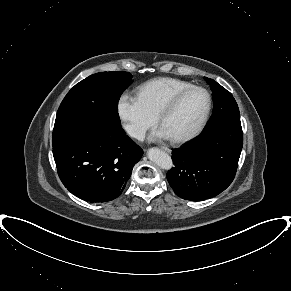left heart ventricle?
Instances as JSON below:
<instances>
[{
  "label": "left heart ventricle",
  "mask_w": 291,
  "mask_h": 291,
  "mask_svg": "<svg viewBox=\"0 0 291 291\" xmlns=\"http://www.w3.org/2000/svg\"><path fill=\"white\" fill-rule=\"evenodd\" d=\"M207 105V96L203 91L195 90L187 94L175 110L161 125V129L170 139L190 133L198 124Z\"/></svg>",
  "instance_id": "left-heart-ventricle-1"
}]
</instances>
